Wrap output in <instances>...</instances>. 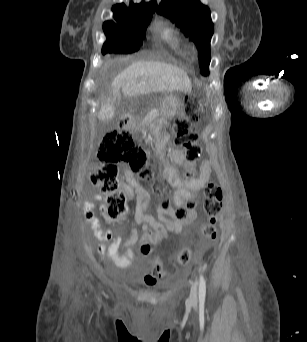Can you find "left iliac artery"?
Returning a JSON list of instances; mask_svg holds the SVG:
<instances>
[{
  "label": "left iliac artery",
  "instance_id": "44dca946",
  "mask_svg": "<svg viewBox=\"0 0 307 342\" xmlns=\"http://www.w3.org/2000/svg\"><path fill=\"white\" fill-rule=\"evenodd\" d=\"M205 295H206V283L205 279L202 275H200L199 280V301L200 303H203L205 301Z\"/></svg>",
  "mask_w": 307,
  "mask_h": 342
}]
</instances>
